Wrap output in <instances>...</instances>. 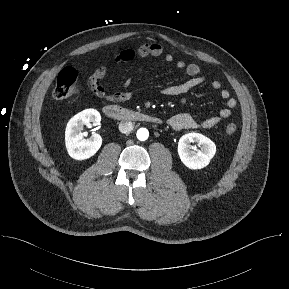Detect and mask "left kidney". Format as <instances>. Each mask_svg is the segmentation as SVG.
I'll return each mask as SVG.
<instances>
[{
  "instance_id": "5707ae66",
  "label": "left kidney",
  "mask_w": 289,
  "mask_h": 289,
  "mask_svg": "<svg viewBox=\"0 0 289 289\" xmlns=\"http://www.w3.org/2000/svg\"><path fill=\"white\" fill-rule=\"evenodd\" d=\"M197 143L200 150H192L191 143ZM216 153L215 143L199 133L183 135L178 142V154L182 163L193 170L206 167Z\"/></svg>"
}]
</instances>
